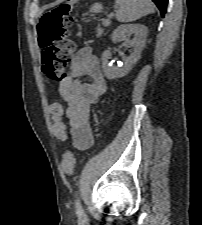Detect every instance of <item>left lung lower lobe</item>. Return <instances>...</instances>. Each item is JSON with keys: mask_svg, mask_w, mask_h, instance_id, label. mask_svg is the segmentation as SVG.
I'll return each instance as SVG.
<instances>
[{"mask_svg": "<svg viewBox=\"0 0 202 225\" xmlns=\"http://www.w3.org/2000/svg\"><path fill=\"white\" fill-rule=\"evenodd\" d=\"M152 1L159 8L161 15L164 16V14L166 12V7H167L168 0H152Z\"/></svg>", "mask_w": 202, "mask_h": 225, "instance_id": "obj_1", "label": "left lung lower lobe"}]
</instances>
